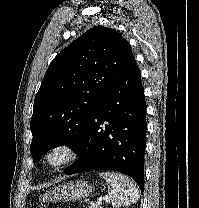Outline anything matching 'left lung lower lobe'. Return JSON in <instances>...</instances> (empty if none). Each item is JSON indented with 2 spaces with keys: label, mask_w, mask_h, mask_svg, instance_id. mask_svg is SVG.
Returning <instances> with one entry per match:
<instances>
[{
  "label": "left lung lower lobe",
  "mask_w": 199,
  "mask_h": 208,
  "mask_svg": "<svg viewBox=\"0 0 199 208\" xmlns=\"http://www.w3.org/2000/svg\"><path fill=\"white\" fill-rule=\"evenodd\" d=\"M146 128L144 89L134 60L96 105L76 150L79 159L66 174L115 170L132 177L143 191Z\"/></svg>",
  "instance_id": "left-lung-lower-lobe-1"
}]
</instances>
